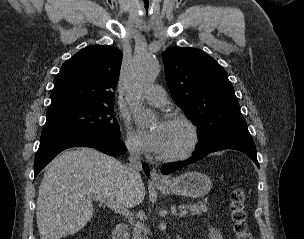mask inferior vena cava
<instances>
[{
	"mask_svg": "<svg viewBox=\"0 0 304 239\" xmlns=\"http://www.w3.org/2000/svg\"><path fill=\"white\" fill-rule=\"evenodd\" d=\"M126 147L129 152V164L125 167V175L130 182H137L141 178L139 173L141 168V150L130 141L126 143Z\"/></svg>",
	"mask_w": 304,
	"mask_h": 239,
	"instance_id": "inferior-vena-cava-1",
	"label": "inferior vena cava"
}]
</instances>
